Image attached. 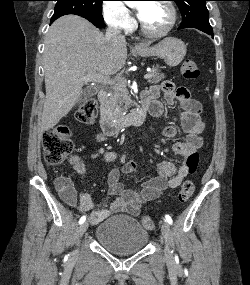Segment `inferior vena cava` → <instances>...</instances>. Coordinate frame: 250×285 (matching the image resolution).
Wrapping results in <instances>:
<instances>
[{"label": "inferior vena cava", "instance_id": "1", "mask_svg": "<svg viewBox=\"0 0 250 285\" xmlns=\"http://www.w3.org/2000/svg\"><path fill=\"white\" fill-rule=\"evenodd\" d=\"M106 38L110 41L126 42L125 36L121 34V30L114 25H109L106 30Z\"/></svg>", "mask_w": 250, "mask_h": 285}]
</instances>
